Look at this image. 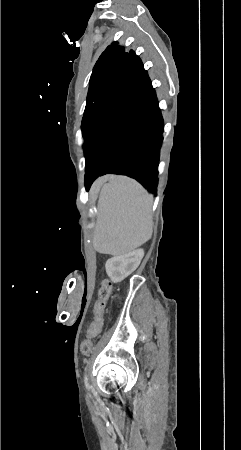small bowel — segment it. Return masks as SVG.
Segmentation results:
<instances>
[{
    "label": "small bowel",
    "instance_id": "c3829d8e",
    "mask_svg": "<svg viewBox=\"0 0 241 450\" xmlns=\"http://www.w3.org/2000/svg\"><path fill=\"white\" fill-rule=\"evenodd\" d=\"M87 331H96L98 334L101 332V330H89V328Z\"/></svg>",
    "mask_w": 241,
    "mask_h": 450
}]
</instances>
